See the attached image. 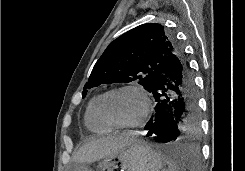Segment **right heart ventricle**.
<instances>
[{"instance_id":"1","label":"right heart ventricle","mask_w":245,"mask_h":171,"mask_svg":"<svg viewBox=\"0 0 245 171\" xmlns=\"http://www.w3.org/2000/svg\"><path fill=\"white\" fill-rule=\"evenodd\" d=\"M100 96L101 95L99 94L91 98V100L87 105L85 116H84V122L87 129L97 134L108 133L112 130V128L106 125L98 115L97 105Z\"/></svg>"}]
</instances>
